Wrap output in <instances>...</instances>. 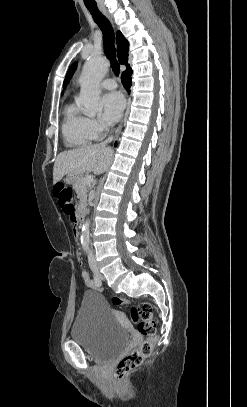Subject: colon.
Segmentation results:
<instances>
[{
    "mask_svg": "<svg viewBox=\"0 0 247 407\" xmlns=\"http://www.w3.org/2000/svg\"><path fill=\"white\" fill-rule=\"evenodd\" d=\"M54 194L58 198L59 206L62 211L67 216L72 215L74 213L72 188L64 183H57L54 186ZM112 302L120 306L128 304L129 300L126 297L114 296ZM130 318L133 323L138 325L139 331L146 336V339L137 350L129 353L120 360L115 369V377L117 379H122L131 371L135 370L142 361L151 354L157 341L156 323L151 304L141 303L133 307L130 311Z\"/></svg>",
    "mask_w": 247,
    "mask_h": 407,
    "instance_id": "colon-1",
    "label": "colon"
}]
</instances>
